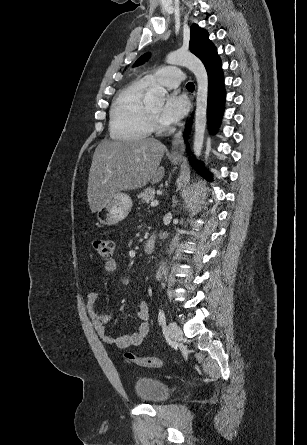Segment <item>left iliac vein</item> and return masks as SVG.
<instances>
[{"label":"left iliac vein","instance_id":"1","mask_svg":"<svg viewBox=\"0 0 307 445\" xmlns=\"http://www.w3.org/2000/svg\"><path fill=\"white\" fill-rule=\"evenodd\" d=\"M167 331L171 340H177L182 336V330L175 322L168 323Z\"/></svg>","mask_w":307,"mask_h":445}]
</instances>
